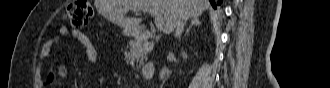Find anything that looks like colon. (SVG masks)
<instances>
[{
    "instance_id": "1",
    "label": "colon",
    "mask_w": 330,
    "mask_h": 88,
    "mask_svg": "<svg viewBox=\"0 0 330 88\" xmlns=\"http://www.w3.org/2000/svg\"><path fill=\"white\" fill-rule=\"evenodd\" d=\"M92 16L93 8L91 3L87 0H78L67 7L64 18L72 27L80 28L86 26ZM65 72L66 70L63 66L57 67V73L60 76H64Z\"/></svg>"
}]
</instances>
